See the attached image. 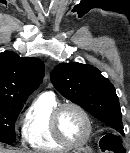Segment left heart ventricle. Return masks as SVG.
<instances>
[{
	"label": "left heart ventricle",
	"instance_id": "b2bd125f",
	"mask_svg": "<svg viewBox=\"0 0 130 153\" xmlns=\"http://www.w3.org/2000/svg\"><path fill=\"white\" fill-rule=\"evenodd\" d=\"M60 130L64 137L73 143L81 142L87 133L84 117L74 108H66L60 115Z\"/></svg>",
	"mask_w": 130,
	"mask_h": 153
}]
</instances>
